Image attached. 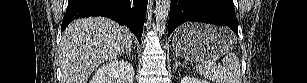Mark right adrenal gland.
Returning <instances> with one entry per match:
<instances>
[{"instance_id": "right-adrenal-gland-1", "label": "right adrenal gland", "mask_w": 307, "mask_h": 83, "mask_svg": "<svg viewBox=\"0 0 307 83\" xmlns=\"http://www.w3.org/2000/svg\"><path fill=\"white\" fill-rule=\"evenodd\" d=\"M131 50H132V48H129L128 50H126L125 52L120 54V56H124V54H126L127 56L131 57Z\"/></svg>"}]
</instances>
